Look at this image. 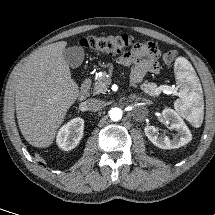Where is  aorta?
Listing matches in <instances>:
<instances>
[{"mask_svg":"<svg viewBox=\"0 0 215 215\" xmlns=\"http://www.w3.org/2000/svg\"><path fill=\"white\" fill-rule=\"evenodd\" d=\"M122 117V111L119 109V108H113L111 111H110V118L113 120V121H118L120 120Z\"/></svg>","mask_w":215,"mask_h":215,"instance_id":"1","label":"aorta"}]
</instances>
